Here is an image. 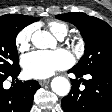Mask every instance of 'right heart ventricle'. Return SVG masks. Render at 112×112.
<instances>
[{
  "mask_svg": "<svg viewBox=\"0 0 112 112\" xmlns=\"http://www.w3.org/2000/svg\"><path fill=\"white\" fill-rule=\"evenodd\" d=\"M48 29L58 38H63L68 34L69 27L66 23L60 21H49L47 23Z\"/></svg>",
  "mask_w": 112,
  "mask_h": 112,
  "instance_id": "e07e8e85",
  "label": "right heart ventricle"
}]
</instances>
